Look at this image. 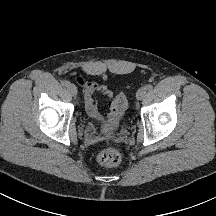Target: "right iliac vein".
<instances>
[{
  "label": "right iliac vein",
  "instance_id": "obj_1",
  "mask_svg": "<svg viewBox=\"0 0 216 216\" xmlns=\"http://www.w3.org/2000/svg\"><path fill=\"white\" fill-rule=\"evenodd\" d=\"M67 89H68V91H69V93L71 94V95H73V96H75L76 94H77V88H76V86L74 85V84H69L68 86H67Z\"/></svg>",
  "mask_w": 216,
  "mask_h": 216
}]
</instances>
